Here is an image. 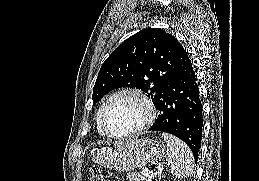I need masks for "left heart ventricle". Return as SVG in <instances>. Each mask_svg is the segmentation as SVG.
I'll use <instances>...</instances> for the list:
<instances>
[{"label": "left heart ventricle", "mask_w": 259, "mask_h": 181, "mask_svg": "<svg viewBox=\"0 0 259 181\" xmlns=\"http://www.w3.org/2000/svg\"><path fill=\"white\" fill-rule=\"evenodd\" d=\"M146 117L143 103L134 95H121L111 101L105 112L108 129L124 134L138 128Z\"/></svg>", "instance_id": "1"}]
</instances>
